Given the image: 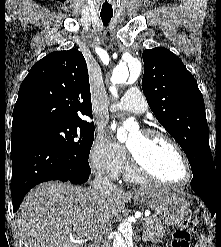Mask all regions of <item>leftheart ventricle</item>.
I'll use <instances>...</instances> for the list:
<instances>
[{
  "label": "left heart ventricle",
  "instance_id": "1",
  "mask_svg": "<svg viewBox=\"0 0 221 247\" xmlns=\"http://www.w3.org/2000/svg\"><path fill=\"white\" fill-rule=\"evenodd\" d=\"M127 146L140 156L160 179L172 183L186 179L183 160L171 145L160 141L150 142L138 131L129 137Z\"/></svg>",
  "mask_w": 221,
  "mask_h": 247
}]
</instances>
